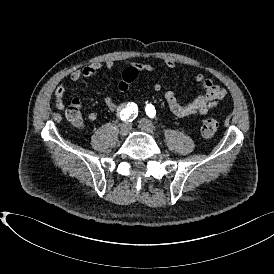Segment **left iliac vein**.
Segmentation results:
<instances>
[{
	"label": "left iliac vein",
	"instance_id": "left-iliac-vein-1",
	"mask_svg": "<svg viewBox=\"0 0 274 274\" xmlns=\"http://www.w3.org/2000/svg\"><path fill=\"white\" fill-rule=\"evenodd\" d=\"M138 126L142 130L147 131V132L152 133L155 131V126L152 124V122L147 119H144V118H142L138 121Z\"/></svg>",
	"mask_w": 274,
	"mask_h": 274
}]
</instances>
